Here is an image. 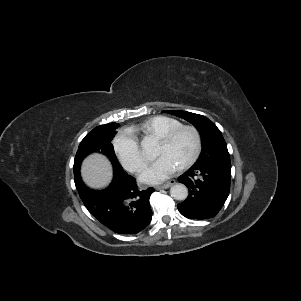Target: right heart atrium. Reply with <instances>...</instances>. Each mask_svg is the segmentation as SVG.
I'll use <instances>...</instances> for the list:
<instances>
[{
	"label": "right heart atrium",
	"instance_id": "1",
	"mask_svg": "<svg viewBox=\"0 0 301 301\" xmlns=\"http://www.w3.org/2000/svg\"><path fill=\"white\" fill-rule=\"evenodd\" d=\"M113 147L121 164L129 171L138 172L145 165L137 136L129 129L119 131L114 140Z\"/></svg>",
	"mask_w": 301,
	"mask_h": 301
}]
</instances>
